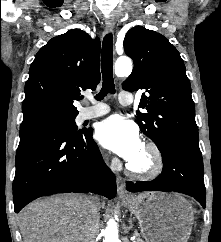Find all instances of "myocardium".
I'll return each instance as SVG.
<instances>
[{
  "instance_id": "myocardium-1",
  "label": "myocardium",
  "mask_w": 221,
  "mask_h": 242,
  "mask_svg": "<svg viewBox=\"0 0 221 242\" xmlns=\"http://www.w3.org/2000/svg\"><path fill=\"white\" fill-rule=\"evenodd\" d=\"M142 148L147 153L148 164L143 168H139L128 162L126 168L129 174L138 180H151L162 172L164 167L163 156L160 149L153 142H144Z\"/></svg>"
}]
</instances>
